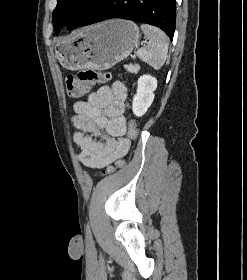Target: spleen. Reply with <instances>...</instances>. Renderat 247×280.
<instances>
[{
	"label": "spleen",
	"mask_w": 247,
	"mask_h": 280,
	"mask_svg": "<svg viewBox=\"0 0 247 280\" xmlns=\"http://www.w3.org/2000/svg\"><path fill=\"white\" fill-rule=\"evenodd\" d=\"M141 30L149 42L138 49L137 55L154 69H160L167 58L168 37L161 29L151 25L142 24Z\"/></svg>",
	"instance_id": "spleen-1"
}]
</instances>
